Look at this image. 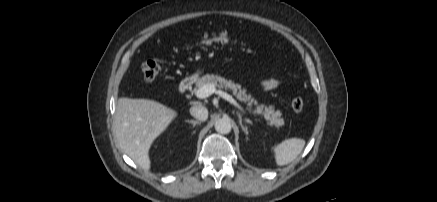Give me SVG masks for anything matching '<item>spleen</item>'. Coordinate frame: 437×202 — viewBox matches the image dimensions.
<instances>
[{"instance_id":"3e777b00","label":"spleen","mask_w":437,"mask_h":202,"mask_svg":"<svg viewBox=\"0 0 437 202\" xmlns=\"http://www.w3.org/2000/svg\"><path fill=\"white\" fill-rule=\"evenodd\" d=\"M304 146L305 140L300 138H290L274 146L276 164L283 166L291 163L299 156Z\"/></svg>"}]
</instances>
